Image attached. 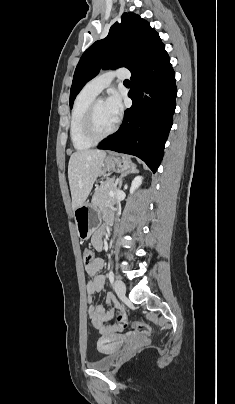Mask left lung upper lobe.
Here are the masks:
<instances>
[{
  "label": "left lung upper lobe",
  "mask_w": 235,
  "mask_h": 404,
  "mask_svg": "<svg viewBox=\"0 0 235 404\" xmlns=\"http://www.w3.org/2000/svg\"><path fill=\"white\" fill-rule=\"evenodd\" d=\"M163 45L147 21L134 13H124L121 23H114L105 39L96 41L83 53L73 77L70 108L81 88L101 68L125 67L135 71ZM118 55L121 59L117 58Z\"/></svg>",
  "instance_id": "left-lung-upper-lobe-1"
}]
</instances>
